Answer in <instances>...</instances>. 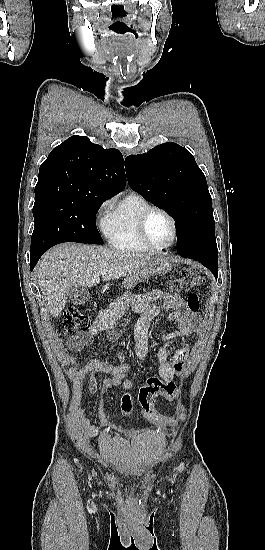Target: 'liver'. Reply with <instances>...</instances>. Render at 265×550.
<instances>
[{"label":"liver","mask_w":265,"mask_h":550,"mask_svg":"<svg viewBox=\"0 0 265 550\" xmlns=\"http://www.w3.org/2000/svg\"><path fill=\"white\" fill-rule=\"evenodd\" d=\"M150 254H130L98 245L64 243L46 252L37 264L38 284L47 307L57 317L72 287H93L103 281L133 276ZM106 272L101 275V272Z\"/></svg>","instance_id":"liver-1"}]
</instances>
